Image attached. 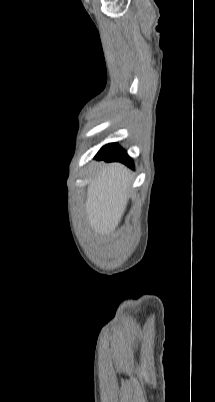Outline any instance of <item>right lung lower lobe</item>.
Here are the masks:
<instances>
[{"mask_svg": "<svg viewBox=\"0 0 215 402\" xmlns=\"http://www.w3.org/2000/svg\"><path fill=\"white\" fill-rule=\"evenodd\" d=\"M97 157L98 159H103L107 162L119 161L131 168L134 167L132 159L127 155L125 150L118 146V144L104 146L97 153Z\"/></svg>", "mask_w": 215, "mask_h": 402, "instance_id": "obj_1", "label": "right lung lower lobe"}]
</instances>
